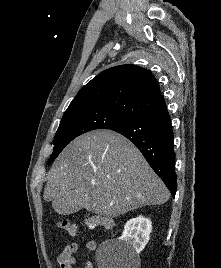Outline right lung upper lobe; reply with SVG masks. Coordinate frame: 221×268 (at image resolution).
Instances as JSON below:
<instances>
[{"mask_svg": "<svg viewBox=\"0 0 221 268\" xmlns=\"http://www.w3.org/2000/svg\"><path fill=\"white\" fill-rule=\"evenodd\" d=\"M166 107L155 77L136 65H121L98 74L79 90L65 113L103 109L127 120Z\"/></svg>", "mask_w": 221, "mask_h": 268, "instance_id": "right-lung-upper-lobe-1", "label": "right lung upper lobe"}]
</instances>
